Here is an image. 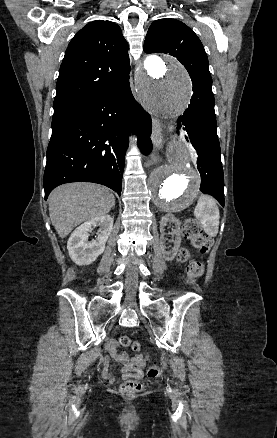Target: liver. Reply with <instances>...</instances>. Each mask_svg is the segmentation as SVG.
<instances>
[{
	"label": "liver",
	"mask_w": 277,
	"mask_h": 438,
	"mask_svg": "<svg viewBox=\"0 0 277 438\" xmlns=\"http://www.w3.org/2000/svg\"><path fill=\"white\" fill-rule=\"evenodd\" d=\"M115 206V198L98 184H63L49 196V216L59 238H66L76 226L106 216Z\"/></svg>",
	"instance_id": "6515ba94"
}]
</instances>
